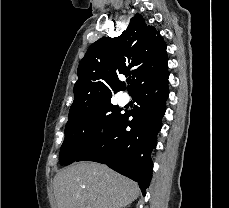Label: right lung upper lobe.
I'll return each instance as SVG.
<instances>
[{
    "label": "right lung upper lobe",
    "instance_id": "right-lung-upper-lobe-1",
    "mask_svg": "<svg viewBox=\"0 0 229 208\" xmlns=\"http://www.w3.org/2000/svg\"><path fill=\"white\" fill-rule=\"evenodd\" d=\"M166 44L159 31L136 14L115 38L93 43L78 66L74 101L68 117L83 115L96 105L111 100L125 88L119 74L132 76L131 94L142 83L160 75L167 65Z\"/></svg>",
    "mask_w": 229,
    "mask_h": 208
}]
</instances>
